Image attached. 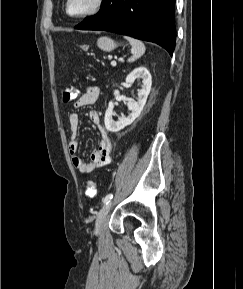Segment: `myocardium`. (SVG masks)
Here are the masks:
<instances>
[{
  "label": "myocardium",
  "mask_w": 243,
  "mask_h": 289,
  "mask_svg": "<svg viewBox=\"0 0 243 289\" xmlns=\"http://www.w3.org/2000/svg\"><path fill=\"white\" fill-rule=\"evenodd\" d=\"M70 2L71 0H66L65 11L67 15H69L72 18H77V19L86 18V17L97 14L104 5V0H94L92 6L87 11L79 13V14H73L70 12V9H69Z\"/></svg>",
  "instance_id": "1"
}]
</instances>
